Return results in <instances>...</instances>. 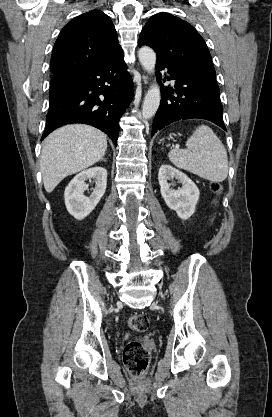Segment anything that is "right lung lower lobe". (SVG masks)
<instances>
[{"label":"right lung lower lobe","mask_w":272,"mask_h":417,"mask_svg":"<svg viewBox=\"0 0 272 417\" xmlns=\"http://www.w3.org/2000/svg\"><path fill=\"white\" fill-rule=\"evenodd\" d=\"M123 58L119 49L95 67L53 74L41 140L60 126L85 123L105 132L116 145L119 119L133 97Z\"/></svg>","instance_id":"right-lung-lower-lobe-1"}]
</instances>
